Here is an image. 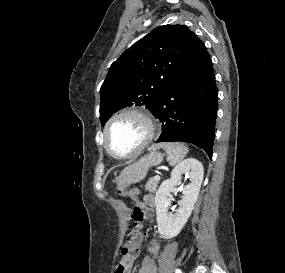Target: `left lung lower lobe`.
<instances>
[{
	"instance_id": "1",
	"label": "left lung lower lobe",
	"mask_w": 285,
	"mask_h": 273,
	"mask_svg": "<svg viewBox=\"0 0 285 273\" xmlns=\"http://www.w3.org/2000/svg\"><path fill=\"white\" fill-rule=\"evenodd\" d=\"M218 91L210 55L193 33L185 59L153 112L162 121L157 142L184 141L212 158Z\"/></svg>"
}]
</instances>
